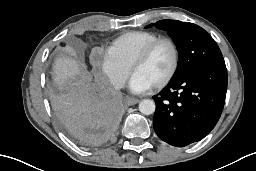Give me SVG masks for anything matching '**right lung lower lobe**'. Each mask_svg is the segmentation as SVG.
Segmentation results:
<instances>
[{
	"mask_svg": "<svg viewBox=\"0 0 256 171\" xmlns=\"http://www.w3.org/2000/svg\"><path fill=\"white\" fill-rule=\"evenodd\" d=\"M55 111L72 138L98 146L108 142L119 126L120 95L105 84L89 86L67 102L55 105Z\"/></svg>",
	"mask_w": 256,
	"mask_h": 171,
	"instance_id": "obj_1",
	"label": "right lung lower lobe"
}]
</instances>
